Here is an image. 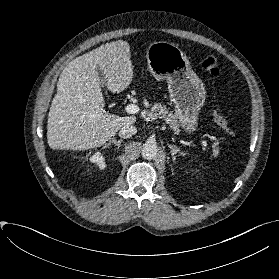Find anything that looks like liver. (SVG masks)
<instances>
[{"mask_svg": "<svg viewBox=\"0 0 279 279\" xmlns=\"http://www.w3.org/2000/svg\"><path fill=\"white\" fill-rule=\"evenodd\" d=\"M100 69L104 78H99ZM133 78L129 43H106L72 60L62 71L47 121L52 149L87 150L106 143L121 127L136 122L104 111L101 82L112 93L126 89Z\"/></svg>", "mask_w": 279, "mask_h": 279, "instance_id": "obj_1", "label": "liver"}]
</instances>
